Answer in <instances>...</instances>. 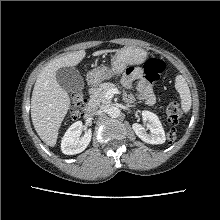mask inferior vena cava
I'll use <instances>...</instances> for the list:
<instances>
[{"label":"inferior vena cava","instance_id":"obj_1","mask_svg":"<svg viewBox=\"0 0 220 220\" xmlns=\"http://www.w3.org/2000/svg\"><path fill=\"white\" fill-rule=\"evenodd\" d=\"M99 112H100V110H99V109H96V108H93V109L90 110V114H91V115H96V114H98Z\"/></svg>","mask_w":220,"mask_h":220}]
</instances>
